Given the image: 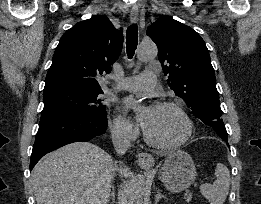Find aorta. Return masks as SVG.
I'll use <instances>...</instances> for the list:
<instances>
[{
  "label": "aorta",
  "instance_id": "obj_1",
  "mask_svg": "<svg viewBox=\"0 0 261 204\" xmlns=\"http://www.w3.org/2000/svg\"><path fill=\"white\" fill-rule=\"evenodd\" d=\"M157 52V47L154 43H142L137 49V58L141 62H146L155 58ZM144 195L145 179L142 175H137L130 182L128 191L129 204H142Z\"/></svg>",
  "mask_w": 261,
  "mask_h": 204
}]
</instances>
